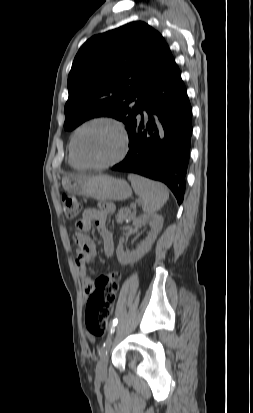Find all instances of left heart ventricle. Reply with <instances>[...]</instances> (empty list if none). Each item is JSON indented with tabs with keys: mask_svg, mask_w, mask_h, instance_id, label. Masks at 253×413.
I'll use <instances>...</instances> for the list:
<instances>
[{
	"mask_svg": "<svg viewBox=\"0 0 253 413\" xmlns=\"http://www.w3.org/2000/svg\"><path fill=\"white\" fill-rule=\"evenodd\" d=\"M120 150V139L116 130L107 124H94L80 132L76 140L79 158L97 164L114 158Z\"/></svg>",
	"mask_w": 253,
	"mask_h": 413,
	"instance_id": "b2bd125f",
	"label": "left heart ventricle"
}]
</instances>
